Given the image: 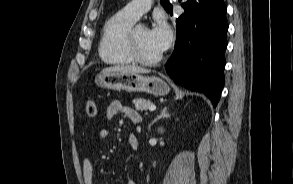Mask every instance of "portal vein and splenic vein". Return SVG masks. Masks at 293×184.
<instances>
[{
  "mask_svg": "<svg viewBox=\"0 0 293 184\" xmlns=\"http://www.w3.org/2000/svg\"><path fill=\"white\" fill-rule=\"evenodd\" d=\"M148 110L149 111H155L156 110V106L155 105H151V106H149V108H148Z\"/></svg>",
  "mask_w": 293,
  "mask_h": 184,
  "instance_id": "obj_1",
  "label": "portal vein and splenic vein"
}]
</instances>
